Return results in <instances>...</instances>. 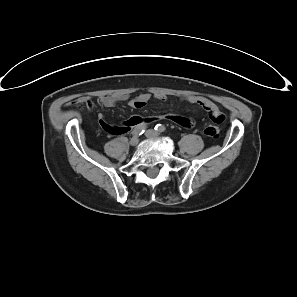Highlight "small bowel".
Segmentation results:
<instances>
[{
    "label": "small bowel",
    "instance_id": "1",
    "mask_svg": "<svg viewBox=\"0 0 297 297\" xmlns=\"http://www.w3.org/2000/svg\"><path fill=\"white\" fill-rule=\"evenodd\" d=\"M156 98L158 100H164L165 96H156ZM124 99H126V98L125 97L121 98V100H124ZM149 99H150V96L148 94H141L138 97L131 99L128 102V105L135 109H141L147 105ZM186 99L190 103L196 104V105L202 107L203 109H205L206 111H208L210 113L211 117L217 116V115L223 116L220 108L216 104H214L213 102H211L203 97L187 96ZM119 100L120 99L112 97V96H104V97L100 98L101 104L105 107H113L116 105V103ZM165 118L169 121H172V122H175V123L181 125L184 128H191L193 126V121L190 118H185V117L178 116V115H167V116H165ZM99 119H100V124L102 125L104 130H106L109 133H117L119 131L126 132V131H128V129L130 127L138 126L139 124H143V123H140L141 120L139 117H131L130 119H128L125 122L124 126L119 129L115 126L106 124L105 121L103 120L102 115L99 116Z\"/></svg>",
    "mask_w": 297,
    "mask_h": 297
}]
</instances>
